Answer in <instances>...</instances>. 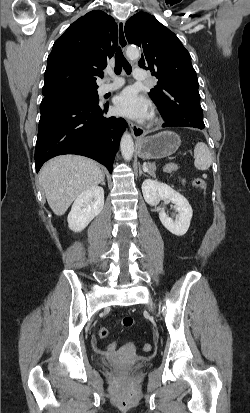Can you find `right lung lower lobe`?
<instances>
[{"instance_id": "98d812e1", "label": "right lung lower lobe", "mask_w": 250, "mask_h": 413, "mask_svg": "<svg viewBox=\"0 0 250 413\" xmlns=\"http://www.w3.org/2000/svg\"><path fill=\"white\" fill-rule=\"evenodd\" d=\"M107 110L108 104L98 101L44 98L35 148L36 171L54 156L77 154L100 162L112 173L127 123L122 118L104 117Z\"/></svg>"}]
</instances>
